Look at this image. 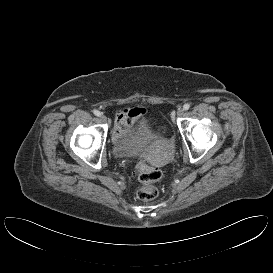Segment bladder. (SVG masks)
<instances>
[{
  "label": "bladder",
  "instance_id": "31cf9c89",
  "mask_svg": "<svg viewBox=\"0 0 273 273\" xmlns=\"http://www.w3.org/2000/svg\"><path fill=\"white\" fill-rule=\"evenodd\" d=\"M155 138L150 124L142 120L132 131L118 139L113 146L116 157H129L143 153L144 146Z\"/></svg>",
  "mask_w": 273,
  "mask_h": 273
}]
</instances>
